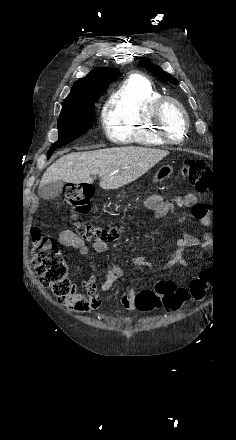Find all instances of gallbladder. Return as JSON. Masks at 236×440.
I'll use <instances>...</instances> for the list:
<instances>
[{
	"label": "gallbladder",
	"instance_id": "1",
	"mask_svg": "<svg viewBox=\"0 0 236 440\" xmlns=\"http://www.w3.org/2000/svg\"><path fill=\"white\" fill-rule=\"evenodd\" d=\"M63 186L62 181L50 182L39 189V196L44 200H52L59 196Z\"/></svg>",
	"mask_w": 236,
	"mask_h": 440
}]
</instances>
